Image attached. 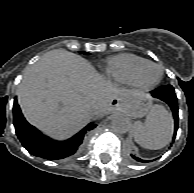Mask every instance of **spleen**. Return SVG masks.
<instances>
[{
  "label": "spleen",
  "instance_id": "3e777b00",
  "mask_svg": "<svg viewBox=\"0 0 194 193\" xmlns=\"http://www.w3.org/2000/svg\"><path fill=\"white\" fill-rule=\"evenodd\" d=\"M173 119L162 105H153L145 122L136 121L133 125L135 141L142 147L158 150L165 147L172 138Z\"/></svg>",
  "mask_w": 194,
  "mask_h": 193
}]
</instances>
